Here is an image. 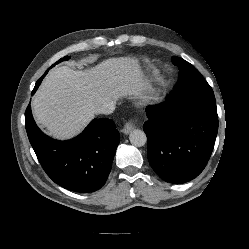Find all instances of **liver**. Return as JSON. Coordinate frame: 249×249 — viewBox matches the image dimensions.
<instances>
[{
	"instance_id": "1",
	"label": "liver",
	"mask_w": 249,
	"mask_h": 249,
	"mask_svg": "<svg viewBox=\"0 0 249 249\" xmlns=\"http://www.w3.org/2000/svg\"><path fill=\"white\" fill-rule=\"evenodd\" d=\"M144 88L136 59L110 58L84 71L67 66L52 70L31 105L35 120L51 136L69 139L82 131L103 103L139 95Z\"/></svg>"
}]
</instances>
